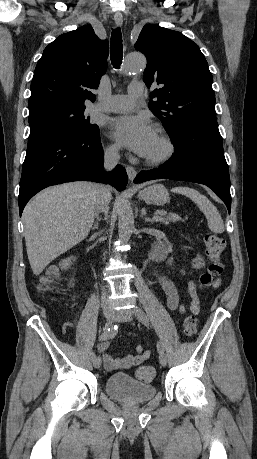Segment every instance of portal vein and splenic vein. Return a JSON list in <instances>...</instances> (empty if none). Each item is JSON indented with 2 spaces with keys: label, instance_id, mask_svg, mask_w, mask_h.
<instances>
[{
  "label": "portal vein and splenic vein",
  "instance_id": "portal-vein-and-splenic-vein-1",
  "mask_svg": "<svg viewBox=\"0 0 257 459\" xmlns=\"http://www.w3.org/2000/svg\"><path fill=\"white\" fill-rule=\"evenodd\" d=\"M159 214H160V213H159ZM153 219H154V220H157V221H158V220H161V218L158 216V214L154 215Z\"/></svg>",
  "mask_w": 257,
  "mask_h": 459
}]
</instances>
